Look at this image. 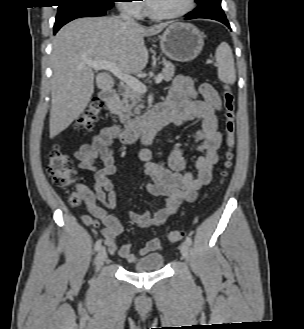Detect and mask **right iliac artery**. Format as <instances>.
<instances>
[{
  "label": "right iliac artery",
  "mask_w": 304,
  "mask_h": 329,
  "mask_svg": "<svg viewBox=\"0 0 304 329\" xmlns=\"http://www.w3.org/2000/svg\"><path fill=\"white\" fill-rule=\"evenodd\" d=\"M101 247V239L97 240L95 243V251H98Z\"/></svg>",
  "instance_id": "obj_1"
}]
</instances>
